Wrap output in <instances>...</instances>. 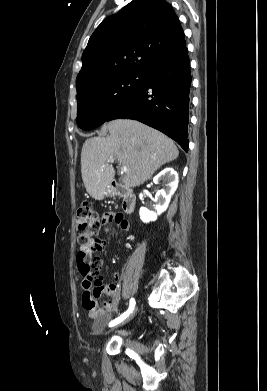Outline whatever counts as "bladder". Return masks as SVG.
<instances>
[{"mask_svg":"<svg viewBox=\"0 0 267 391\" xmlns=\"http://www.w3.org/2000/svg\"><path fill=\"white\" fill-rule=\"evenodd\" d=\"M110 315H111L110 313H103L97 317L95 324H94V333L95 334H99L106 327V324H107L108 320L110 319Z\"/></svg>","mask_w":267,"mask_h":391,"instance_id":"1","label":"bladder"}]
</instances>
